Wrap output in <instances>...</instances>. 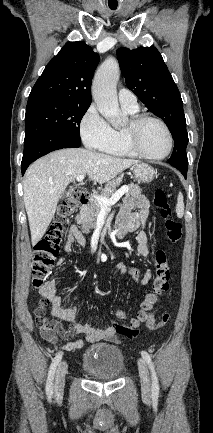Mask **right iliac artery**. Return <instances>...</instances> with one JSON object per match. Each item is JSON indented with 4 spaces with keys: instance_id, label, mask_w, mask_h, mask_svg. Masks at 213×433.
<instances>
[{
    "instance_id": "82829eb1",
    "label": "right iliac artery",
    "mask_w": 213,
    "mask_h": 433,
    "mask_svg": "<svg viewBox=\"0 0 213 433\" xmlns=\"http://www.w3.org/2000/svg\"><path fill=\"white\" fill-rule=\"evenodd\" d=\"M62 352H59L55 358L53 359L50 368H49V372H48V377H47V382H46V394L48 399L52 398L53 395V380H54V374H55V370L56 367L58 366V364L60 363L61 359H62Z\"/></svg>"
}]
</instances>
